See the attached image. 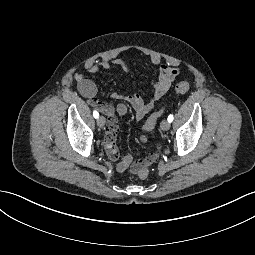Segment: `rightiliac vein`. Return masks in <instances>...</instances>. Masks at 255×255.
<instances>
[{"label":"right iliac vein","instance_id":"obj_1","mask_svg":"<svg viewBox=\"0 0 255 255\" xmlns=\"http://www.w3.org/2000/svg\"><path fill=\"white\" fill-rule=\"evenodd\" d=\"M105 122H106V121H105V118H104L103 116L98 117V119H97V125H98L100 128L104 127Z\"/></svg>","mask_w":255,"mask_h":255}]
</instances>
